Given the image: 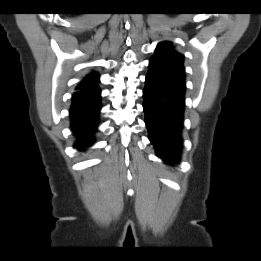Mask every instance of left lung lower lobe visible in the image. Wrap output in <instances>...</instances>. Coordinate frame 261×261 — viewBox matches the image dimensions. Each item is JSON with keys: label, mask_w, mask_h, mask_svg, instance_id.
Listing matches in <instances>:
<instances>
[{"label": "left lung lower lobe", "mask_w": 261, "mask_h": 261, "mask_svg": "<svg viewBox=\"0 0 261 261\" xmlns=\"http://www.w3.org/2000/svg\"><path fill=\"white\" fill-rule=\"evenodd\" d=\"M145 83L143 108L148 137L156 155L173 164L182 150L184 70L150 60Z\"/></svg>", "instance_id": "left-lung-lower-lobe-1"}]
</instances>
